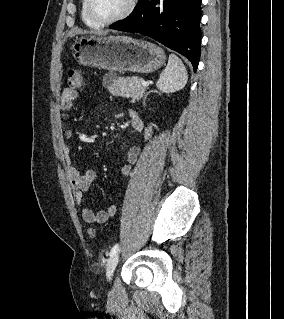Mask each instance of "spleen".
I'll return each mask as SVG.
<instances>
[{
    "mask_svg": "<svg viewBox=\"0 0 284 319\" xmlns=\"http://www.w3.org/2000/svg\"><path fill=\"white\" fill-rule=\"evenodd\" d=\"M187 80L188 75L184 64L175 54H170L168 64L160 74L156 86L162 92L173 93L181 90Z\"/></svg>",
    "mask_w": 284,
    "mask_h": 319,
    "instance_id": "1",
    "label": "spleen"
}]
</instances>
